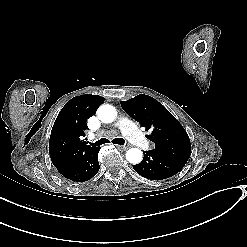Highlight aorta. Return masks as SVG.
<instances>
[{"mask_svg":"<svg viewBox=\"0 0 247 247\" xmlns=\"http://www.w3.org/2000/svg\"><path fill=\"white\" fill-rule=\"evenodd\" d=\"M116 115V109L109 104H103L97 110V116L103 123L113 122ZM126 159L131 164H139L143 159L142 151L138 148H131L126 152Z\"/></svg>","mask_w":247,"mask_h":247,"instance_id":"obj_1","label":"aorta"}]
</instances>
